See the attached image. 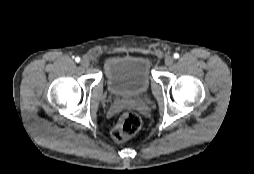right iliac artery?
Here are the masks:
<instances>
[{"mask_svg":"<svg viewBox=\"0 0 254 174\" xmlns=\"http://www.w3.org/2000/svg\"><path fill=\"white\" fill-rule=\"evenodd\" d=\"M75 61H76V62H79V61H80V58H79V57H76V58H75Z\"/></svg>","mask_w":254,"mask_h":174,"instance_id":"obj_1","label":"right iliac artery"}]
</instances>
